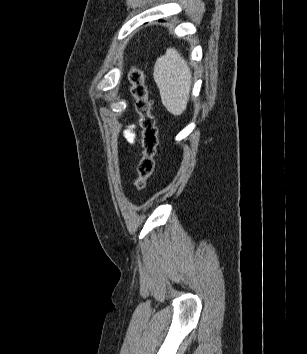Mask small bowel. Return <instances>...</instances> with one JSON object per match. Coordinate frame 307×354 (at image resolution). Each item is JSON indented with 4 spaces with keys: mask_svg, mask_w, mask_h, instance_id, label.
I'll return each instance as SVG.
<instances>
[{
    "mask_svg": "<svg viewBox=\"0 0 307 354\" xmlns=\"http://www.w3.org/2000/svg\"><path fill=\"white\" fill-rule=\"evenodd\" d=\"M124 138L129 144H135L136 133L133 125L128 126V128L124 131Z\"/></svg>",
    "mask_w": 307,
    "mask_h": 354,
    "instance_id": "obj_1",
    "label": "small bowel"
}]
</instances>
